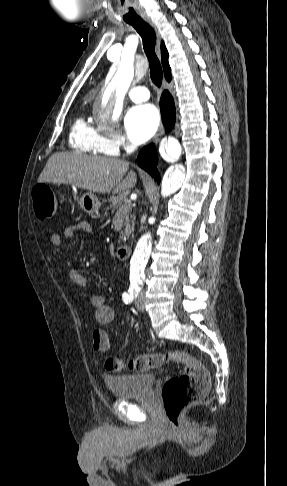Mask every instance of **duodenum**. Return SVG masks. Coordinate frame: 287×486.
Here are the masks:
<instances>
[{
    "label": "duodenum",
    "instance_id": "obj_1",
    "mask_svg": "<svg viewBox=\"0 0 287 486\" xmlns=\"http://www.w3.org/2000/svg\"><path fill=\"white\" fill-rule=\"evenodd\" d=\"M131 253V246L128 244H124L118 247L117 249V257L119 259H126Z\"/></svg>",
    "mask_w": 287,
    "mask_h": 486
}]
</instances>
